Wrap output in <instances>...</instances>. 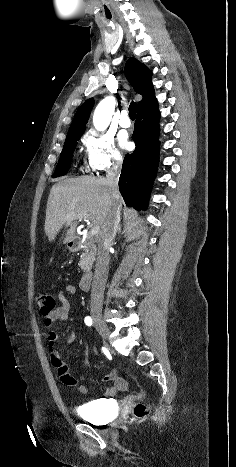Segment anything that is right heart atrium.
<instances>
[{
	"mask_svg": "<svg viewBox=\"0 0 236 467\" xmlns=\"http://www.w3.org/2000/svg\"><path fill=\"white\" fill-rule=\"evenodd\" d=\"M86 154V165L93 171L101 172L116 167L121 156L112 136L96 131L86 133L82 138Z\"/></svg>",
	"mask_w": 236,
	"mask_h": 467,
	"instance_id": "obj_1",
	"label": "right heart atrium"
}]
</instances>
